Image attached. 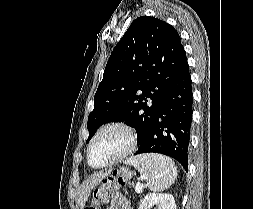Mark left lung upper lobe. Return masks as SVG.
<instances>
[{"instance_id": "left-lung-upper-lobe-1", "label": "left lung upper lobe", "mask_w": 253, "mask_h": 209, "mask_svg": "<svg viewBox=\"0 0 253 209\" xmlns=\"http://www.w3.org/2000/svg\"><path fill=\"white\" fill-rule=\"evenodd\" d=\"M186 60L177 31L149 16L135 19L113 49L88 117L89 137L110 121L134 127L146 139L168 88Z\"/></svg>"}]
</instances>
